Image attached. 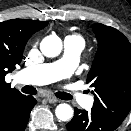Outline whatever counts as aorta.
Wrapping results in <instances>:
<instances>
[{"label": "aorta", "instance_id": "762f6f07", "mask_svg": "<svg viewBox=\"0 0 131 131\" xmlns=\"http://www.w3.org/2000/svg\"><path fill=\"white\" fill-rule=\"evenodd\" d=\"M40 49L46 57H56L62 51V40L56 35H49L41 41ZM55 114L59 120L68 121L73 117V109L68 104H59Z\"/></svg>", "mask_w": 131, "mask_h": 131}]
</instances>
